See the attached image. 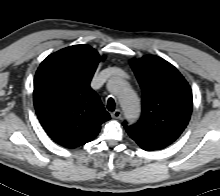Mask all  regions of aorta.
<instances>
[{
	"mask_svg": "<svg viewBox=\"0 0 220 196\" xmlns=\"http://www.w3.org/2000/svg\"><path fill=\"white\" fill-rule=\"evenodd\" d=\"M108 88L116 94L124 111V116L129 122H134L140 115V103L136 93L129 84L121 78H111Z\"/></svg>",
	"mask_w": 220,
	"mask_h": 196,
	"instance_id": "aorta-1",
	"label": "aorta"
}]
</instances>
